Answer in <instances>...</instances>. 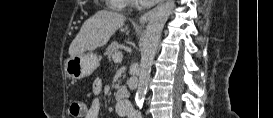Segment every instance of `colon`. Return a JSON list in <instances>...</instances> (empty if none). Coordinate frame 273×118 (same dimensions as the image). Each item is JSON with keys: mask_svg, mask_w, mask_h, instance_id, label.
I'll return each mask as SVG.
<instances>
[{"mask_svg": "<svg viewBox=\"0 0 273 118\" xmlns=\"http://www.w3.org/2000/svg\"><path fill=\"white\" fill-rule=\"evenodd\" d=\"M69 110L73 117H83L86 113L85 104L79 99H74L71 102Z\"/></svg>", "mask_w": 273, "mask_h": 118, "instance_id": "obj_1", "label": "colon"}]
</instances>
